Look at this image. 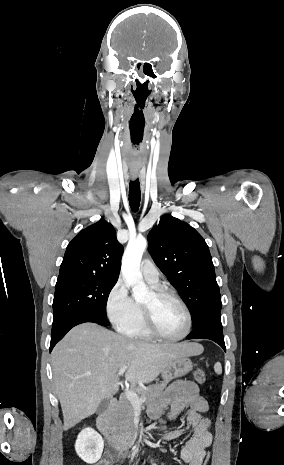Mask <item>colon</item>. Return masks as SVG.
I'll return each instance as SVG.
<instances>
[{
    "instance_id": "5ec220e1",
    "label": "colon",
    "mask_w": 284,
    "mask_h": 465,
    "mask_svg": "<svg viewBox=\"0 0 284 465\" xmlns=\"http://www.w3.org/2000/svg\"><path fill=\"white\" fill-rule=\"evenodd\" d=\"M194 378L197 383H205L207 380L206 373L201 369H197L194 372ZM210 458H211V453H206V457L204 458L205 462H203L202 465H209Z\"/></svg>"
}]
</instances>
